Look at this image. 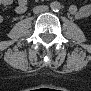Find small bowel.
Masks as SVG:
<instances>
[{"label":"small bowel","instance_id":"1","mask_svg":"<svg viewBox=\"0 0 91 91\" xmlns=\"http://www.w3.org/2000/svg\"><path fill=\"white\" fill-rule=\"evenodd\" d=\"M2 3L4 5H10L12 2L10 0H3ZM27 9V2L25 0H19L15 5V11L17 13H24ZM74 14H78L79 11L76 8H72L71 10Z\"/></svg>","mask_w":91,"mask_h":91}]
</instances>
